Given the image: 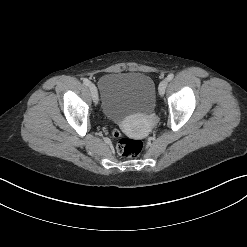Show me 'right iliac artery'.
<instances>
[{
	"label": "right iliac artery",
	"mask_w": 247,
	"mask_h": 247,
	"mask_svg": "<svg viewBox=\"0 0 247 247\" xmlns=\"http://www.w3.org/2000/svg\"><path fill=\"white\" fill-rule=\"evenodd\" d=\"M83 83H84L85 85H87V86L90 85V81H89L87 78H84V79H83Z\"/></svg>",
	"instance_id": "1"
}]
</instances>
